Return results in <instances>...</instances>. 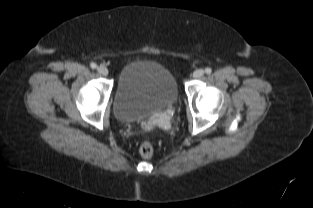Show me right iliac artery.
<instances>
[{"mask_svg": "<svg viewBox=\"0 0 313 208\" xmlns=\"http://www.w3.org/2000/svg\"><path fill=\"white\" fill-rule=\"evenodd\" d=\"M90 67H91L92 69H96V68H97V64L94 63V62H92V63L90 64Z\"/></svg>", "mask_w": 313, "mask_h": 208, "instance_id": "82829eb1", "label": "right iliac artery"}]
</instances>
